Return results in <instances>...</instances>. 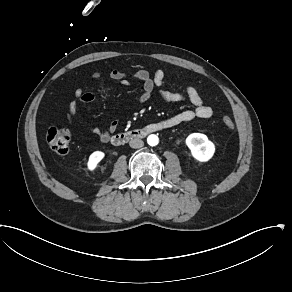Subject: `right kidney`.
Wrapping results in <instances>:
<instances>
[{
	"instance_id": "obj_1",
	"label": "right kidney",
	"mask_w": 292,
	"mask_h": 292,
	"mask_svg": "<svg viewBox=\"0 0 292 292\" xmlns=\"http://www.w3.org/2000/svg\"><path fill=\"white\" fill-rule=\"evenodd\" d=\"M103 157H104L103 152H94L93 154H91L88 161V169L94 170L97 164L103 159Z\"/></svg>"
}]
</instances>
